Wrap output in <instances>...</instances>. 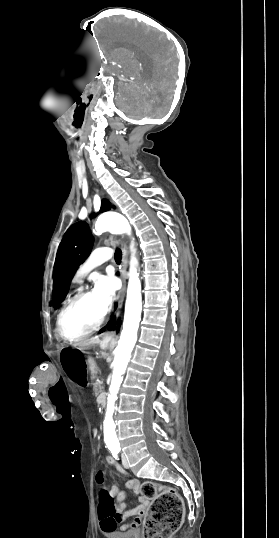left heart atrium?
<instances>
[{"instance_id":"obj_1","label":"left heart atrium","mask_w":279,"mask_h":538,"mask_svg":"<svg viewBox=\"0 0 279 538\" xmlns=\"http://www.w3.org/2000/svg\"><path fill=\"white\" fill-rule=\"evenodd\" d=\"M117 288V279L111 273L100 275L95 281L94 293L102 304L104 312L112 303Z\"/></svg>"}]
</instances>
